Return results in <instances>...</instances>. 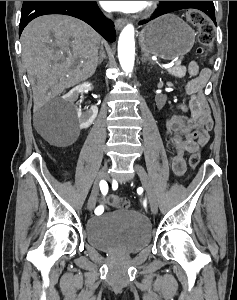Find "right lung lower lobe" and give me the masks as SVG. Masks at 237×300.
<instances>
[{
    "instance_id": "98d812e1",
    "label": "right lung lower lobe",
    "mask_w": 237,
    "mask_h": 300,
    "mask_svg": "<svg viewBox=\"0 0 237 300\" xmlns=\"http://www.w3.org/2000/svg\"><path fill=\"white\" fill-rule=\"evenodd\" d=\"M46 14H64L79 18L92 26L107 41H115L114 24L103 16L96 1H29L23 3L19 34L31 20Z\"/></svg>"
}]
</instances>
